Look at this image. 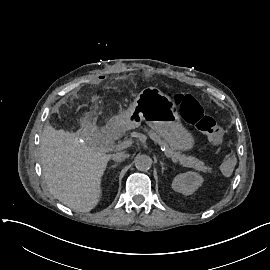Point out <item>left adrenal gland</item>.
<instances>
[{
  "mask_svg": "<svg viewBox=\"0 0 270 270\" xmlns=\"http://www.w3.org/2000/svg\"><path fill=\"white\" fill-rule=\"evenodd\" d=\"M160 164H161V167H162V168H161V171H162V173H164V170H165V168H164V163L160 161Z\"/></svg>",
  "mask_w": 270,
  "mask_h": 270,
  "instance_id": "1",
  "label": "left adrenal gland"
}]
</instances>
